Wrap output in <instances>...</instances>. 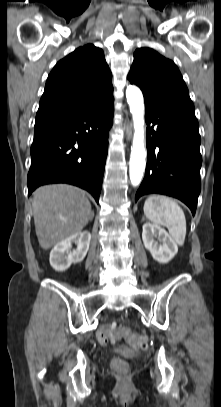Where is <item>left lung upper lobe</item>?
Wrapping results in <instances>:
<instances>
[{
  "mask_svg": "<svg viewBox=\"0 0 221 407\" xmlns=\"http://www.w3.org/2000/svg\"><path fill=\"white\" fill-rule=\"evenodd\" d=\"M128 80L143 92L145 102L159 103L185 99L191 101L186 84L173 61L150 48H139Z\"/></svg>",
  "mask_w": 221,
  "mask_h": 407,
  "instance_id": "left-lung-upper-lobe-1",
  "label": "left lung upper lobe"
}]
</instances>
